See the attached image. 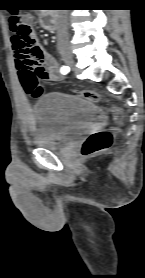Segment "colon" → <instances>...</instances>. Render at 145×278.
Masks as SVG:
<instances>
[{
  "mask_svg": "<svg viewBox=\"0 0 145 278\" xmlns=\"http://www.w3.org/2000/svg\"><path fill=\"white\" fill-rule=\"evenodd\" d=\"M8 23L10 30L19 38H21L22 45L27 46L32 35L31 29L17 14H11L8 18ZM36 88H40V85H38L37 76L32 78V85L26 88V92L32 94ZM77 95L94 102L99 100V95L91 91L78 92ZM112 112L114 113L117 120H122V112L119 109L113 108ZM111 142L112 134L110 132L104 130L96 131L85 139L82 145L81 153L85 157L93 156L94 154L107 149Z\"/></svg>",
  "mask_w": 145,
  "mask_h": 278,
  "instance_id": "5ec220e1",
  "label": "colon"
}]
</instances>
